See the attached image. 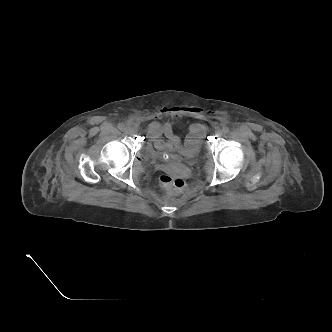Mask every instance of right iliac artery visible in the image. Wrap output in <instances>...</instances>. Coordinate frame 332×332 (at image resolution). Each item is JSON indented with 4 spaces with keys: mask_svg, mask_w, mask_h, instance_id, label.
<instances>
[{
    "mask_svg": "<svg viewBox=\"0 0 332 332\" xmlns=\"http://www.w3.org/2000/svg\"><path fill=\"white\" fill-rule=\"evenodd\" d=\"M118 128H119L120 130H124V129H125V125H124L123 123H119V124H118Z\"/></svg>",
    "mask_w": 332,
    "mask_h": 332,
    "instance_id": "1",
    "label": "right iliac artery"
}]
</instances>
